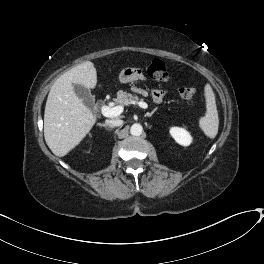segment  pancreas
<instances>
[{
  "label": "pancreas",
  "instance_id": "cf45deb5",
  "mask_svg": "<svg viewBox=\"0 0 264 264\" xmlns=\"http://www.w3.org/2000/svg\"><path fill=\"white\" fill-rule=\"evenodd\" d=\"M137 100H138V96H134L122 90L117 92V98L115 99L117 103H122L125 105L131 104L132 101H137Z\"/></svg>",
  "mask_w": 264,
  "mask_h": 264
}]
</instances>
